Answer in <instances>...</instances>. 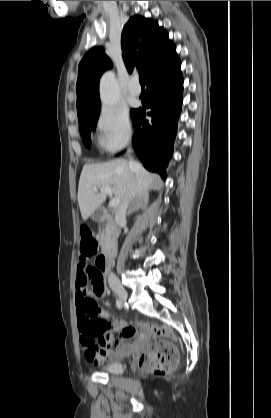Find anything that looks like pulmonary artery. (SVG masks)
<instances>
[{"mask_svg":"<svg viewBox=\"0 0 271 418\" xmlns=\"http://www.w3.org/2000/svg\"><path fill=\"white\" fill-rule=\"evenodd\" d=\"M130 95L134 97H138L141 93V89L138 86L137 79H133L130 83L129 89H128Z\"/></svg>","mask_w":271,"mask_h":418,"instance_id":"pulmonary-artery-1","label":"pulmonary artery"}]
</instances>
